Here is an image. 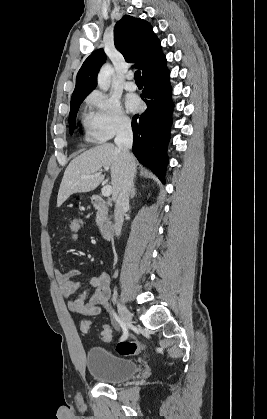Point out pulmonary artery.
<instances>
[{"mask_svg":"<svg viewBox=\"0 0 267 419\" xmlns=\"http://www.w3.org/2000/svg\"><path fill=\"white\" fill-rule=\"evenodd\" d=\"M127 81L124 84V87L126 90L128 91H134L137 88L136 83L133 81V73H128L127 76Z\"/></svg>","mask_w":267,"mask_h":419,"instance_id":"pulmonary-artery-1","label":"pulmonary artery"}]
</instances>
